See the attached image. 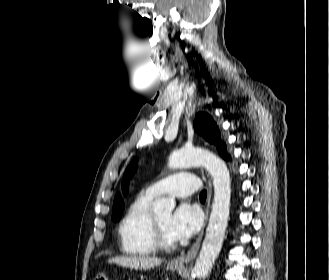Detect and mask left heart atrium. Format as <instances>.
<instances>
[{
	"label": "left heart atrium",
	"mask_w": 329,
	"mask_h": 280,
	"mask_svg": "<svg viewBox=\"0 0 329 280\" xmlns=\"http://www.w3.org/2000/svg\"><path fill=\"white\" fill-rule=\"evenodd\" d=\"M202 220L199 208L184 202L172 214L167 230L173 241L187 240L198 232Z\"/></svg>",
	"instance_id": "39dd6f15"
}]
</instances>
